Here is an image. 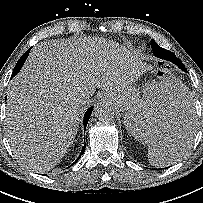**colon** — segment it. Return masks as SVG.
<instances>
[{"label":"colon","instance_id":"colon-1","mask_svg":"<svg viewBox=\"0 0 203 203\" xmlns=\"http://www.w3.org/2000/svg\"><path fill=\"white\" fill-rule=\"evenodd\" d=\"M172 70L171 68L164 64V63H160L159 67H158V71H157V75L159 78H165L167 76H169L171 74Z\"/></svg>","mask_w":203,"mask_h":203}]
</instances>
